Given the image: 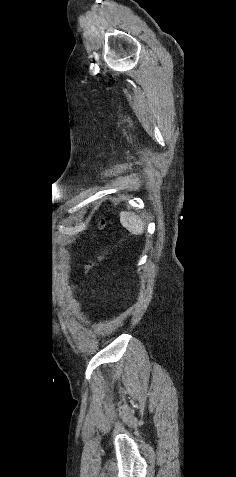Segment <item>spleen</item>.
<instances>
[{
  "instance_id": "3e777b00",
  "label": "spleen",
  "mask_w": 236,
  "mask_h": 477,
  "mask_svg": "<svg viewBox=\"0 0 236 477\" xmlns=\"http://www.w3.org/2000/svg\"><path fill=\"white\" fill-rule=\"evenodd\" d=\"M120 222L124 228L134 235H141L144 231L145 224L143 220L134 213L122 211L120 213Z\"/></svg>"
}]
</instances>
